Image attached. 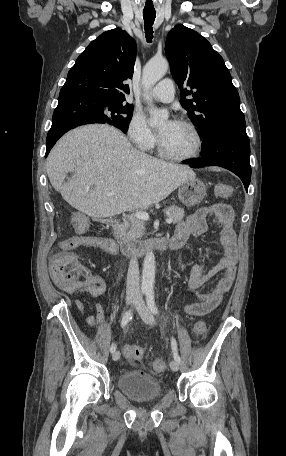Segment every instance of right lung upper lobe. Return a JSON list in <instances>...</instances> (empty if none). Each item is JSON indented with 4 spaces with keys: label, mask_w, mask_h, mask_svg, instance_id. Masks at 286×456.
I'll return each instance as SVG.
<instances>
[{
    "label": "right lung upper lobe",
    "mask_w": 286,
    "mask_h": 456,
    "mask_svg": "<svg viewBox=\"0 0 286 456\" xmlns=\"http://www.w3.org/2000/svg\"><path fill=\"white\" fill-rule=\"evenodd\" d=\"M136 42L116 28L101 34L77 58L62 89L74 88L110 101H124L132 79Z\"/></svg>",
    "instance_id": "obj_1"
}]
</instances>
